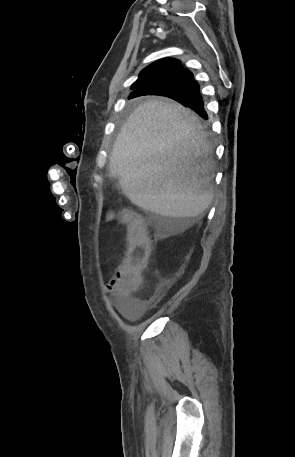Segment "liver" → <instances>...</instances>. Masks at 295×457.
Masks as SVG:
<instances>
[{
  "mask_svg": "<svg viewBox=\"0 0 295 457\" xmlns=\"http://www.w3.org/2000/svg\"><path fill=\"white\" fill-rule=\"evenodd\" d=\"M198 117L169 99L139 105L113 145L110 174L129 200L171 218H195L213 199V162Z\"/></svg>",
  "mask_w": 295,
  "mask_h": 457,
  "instance_id": "obj_1",
  "label": "liver"
}]
</instances>
